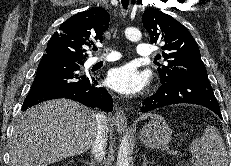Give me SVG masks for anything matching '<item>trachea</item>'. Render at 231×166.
Instances as JSON below:
<instances>
[{
    "label": "trachea",
    "mask_w": 231,
    "mask_h": 166,
    "mask_svg": "<svg viewBox=\"0 0 231 166\" xmlns=\"http://www.w3.org/2000/svg\"><path fill=\"white\" fill-rule=\"evenodd\" d=\"M121 3L123 5V7L126 9L128 7V4H129V0H121ZM94 51H97L98 48L97 47H94L93 48Z\"/></svg>",
    "instance_id": "obj_1"
}]
</instances>
